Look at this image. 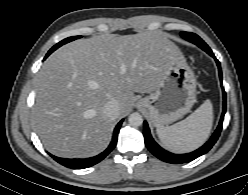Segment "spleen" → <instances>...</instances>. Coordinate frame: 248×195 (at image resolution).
<instances>
[{
    "instance_id": "obj_1",
    "label": "spleen",
    "mask_w": 248,
    "mask_h": 195,
    "mask_svg": "<svg viewBox=\"0 0 248 195\" xmlns=\"http://www.w3.org/2000/svg\"><path fill=\"white\" fill-rule=\"evenodd\" d=\"M213 124V106L206 100L186 119L167 127H157L162 144L175 153L190 152L200 147L209 137Z\"/></svg>"
}]
</instances>
